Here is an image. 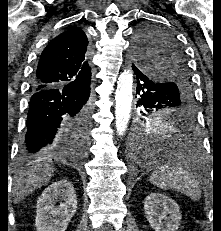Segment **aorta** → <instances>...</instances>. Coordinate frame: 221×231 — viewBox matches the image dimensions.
<instances>
[{
	"instance_id": "762f6f07",
	"label": "aorta",
	"mask_w": 221,
	"mask_h": 231,
	"mask_svg": "<svg viewBox=\"0 0 221 231\" xmlns=\"http://www.w3.org/2000/svg\"><path fill=\"white\" fill-rule=\"evenodd\" d=\"M133 74L129 70L122 72L117 81L115 92V127L119 136H123L129 121L132 103ZM143 140L146 138L143 136Z\"/></svg>"
}]
</instances>
